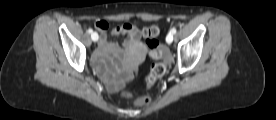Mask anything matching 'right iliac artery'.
Returning <instances> with one entry per match:
<instances>
[{"label":"right iliac artery","mask_w":276,"mask_h":120,"mask_svg":"<svg viewBox=\"0 0 276 120\" xmlns=\"http://www.w3.org/2000/svg\"><path fill=\"white\" fill-rule=\"evenodd\" d=\"M88 33L92 34L93 30L91 28L88 29Z\"/></svg>","instance_id":"1"}]
</instances>
